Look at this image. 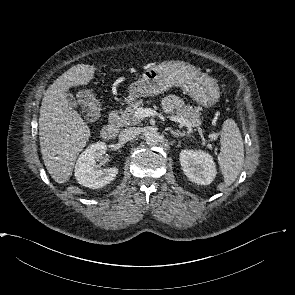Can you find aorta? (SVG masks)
Masks as SVG:
<instances>
[{
  "label": "aorta",
  "instance_id": "762f6f07",
  "mask_svg": "<svg viewBox=\"0 0 295 295\" xmlns=\"http://www.w3.org/2000/svg\"><path fill=\"white\" fill-rule=\"evenodd\" d=\"M145 140L148 145L153 146L160 142V135L155 131H149L145 135Z\"/></svg>",
  "mask_w": 295,
  "mask_h": 295
}]
</instances>
